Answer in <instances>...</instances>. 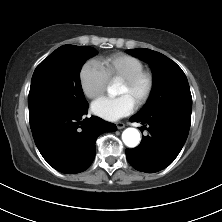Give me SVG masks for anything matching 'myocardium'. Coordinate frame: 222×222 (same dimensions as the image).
Returning a JSON list of instances; mask_svg holds the SVG:
<instances>
[{"instance_id": "obj_1", "label": "myocardium", "mask_w": 222, "mask_h": 222, "mask_svg": "<svg viewBox=\"0 0 222 222\" xmlns=\"http://www.w3.org/2000/svg\"><path fill=\"white\" fill-rule=\"evenodd\" d=\"M121 81L131 90H135L140 85L143 86L141 93L138 95L135 101V104L138 107H142L143 105H145L153 94L155 80L153 74L148 70L143 69Z\"/></svg>"}]
</instances>
